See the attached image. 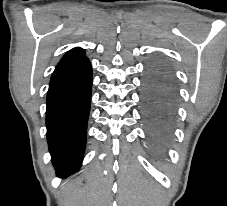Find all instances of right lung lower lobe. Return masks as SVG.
<instances>
[{"label":"right lung lower lobe","instance_id":"98d812e1","mask_svg":"<svg viewBox=\"0 0 227 206\" xmlns=\"http://www.w3.org/2000/svg\"><path fill=\"white\" fill-rule=\"evenodd\" d=\"M92 89V68L86 56L59 63L47 93L46 127L57 175L75 173L83 160Z\"/></svg>","mask_w":227,"mask_h":206}]
</instances>
